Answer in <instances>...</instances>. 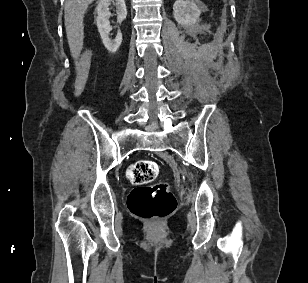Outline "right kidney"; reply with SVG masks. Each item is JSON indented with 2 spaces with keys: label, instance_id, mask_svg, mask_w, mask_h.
Returning a JSON list of instances; mask_svg holds the SVG:
<instances>
[{
  "label": "right kidney",
  "instance_id": "obj_1",
  "mask_svg": "<svg viewBox=\"0 0 308 283\" xmlns=\"http://www.w3.org/2000/svg\"><path fill=\"white\" fill-rule=\"evenodd\" d=\"M111 3L116 5L117 11V22L121 24L127 16V9L125 5V0H100L96 8V25L100 33L102 42L105 48L111 52L115 53L121 45L122 34L120 30L115 37V39L110 38V31L112 27L110 26L109 18L111 13L109 12V6Z\"/></svg>",
  "mask_w": 308,
  "mask_h": 283
}]
</instances>
